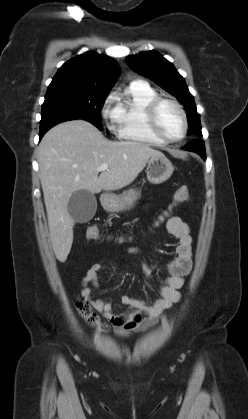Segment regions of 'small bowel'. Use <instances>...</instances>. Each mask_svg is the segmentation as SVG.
Segmentation results:
<instances>
[{"label": "small bowel", "mask_w": 248, "mask_h": 419, "mask_svg": "<svg viewBox=\"0 0 248 419\" xmlns=\"http://www.w3.org/2000/svg\"><path fill=\"white\" fill-rule=\"evenodd\" d=\"M166 228L177 239V245L174 258L162 266L167 275L158 287L159 298L154 302L149 303L143 299L125 295L122 297V303L128 307V310L116 313L108 300L93 298L90 286L99 287L102 261L92 264L82 279L81 295L90 302L95 311L114 325L115 335L118 338H125L130 332L147 330L158 320L164 310L180 300L179 290L184 284V277L192 268V238L188 225L176 215L167 214ZM87 239L94 240L88 234ZM125 252L130 255L140 254V250L136 247H128ZM143 270L146 274H150L152 267L144 263Z\"/></svg>", "instance_id": "obj_1"}]
</instances>
